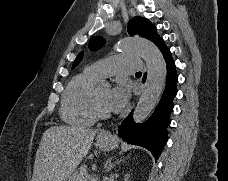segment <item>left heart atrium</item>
<instances>
[{
    "label": "left heart atrium",
    "mask_w": 228,
    "mask_h": 181,
    "mask_svg": "<svg viewBox=\"0 0 228 181\" xmlns=\"http://www.w3.org/2000/svg\"><path fill=\"white\" fill-rule=\"evenodd\" d=\"M129 92V85L126 82H120L111 91L108 99V108L118 112L123 109Z\"/></svg>",
    "instance_id": "39dd6f15"
}]
</instances>
